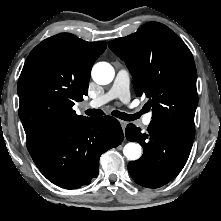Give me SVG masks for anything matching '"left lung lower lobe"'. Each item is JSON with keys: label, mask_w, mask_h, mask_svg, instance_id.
I'll list each match as a JSON object with an SVG mask.
<instances>
[{"label": "left lung lower lobe", "mask_w": 221, "mask_h": 221, "mask_svg": "<svg viewBox=\"0 0 221 221\" xmlns=\"http://www.w3.org/2000/svg\"><path fill=\"white\" fill-rule=\"evenodd\" d=\"M195 133L177 130L154 121L146 133L128 124L126 138L143 147V155L129 162L128 170L133 180L147 188L161 187L174 179L189 157Z\"/></svg>", "instance_id": "left-lung-lower-lobe-1"}]
</instances>
